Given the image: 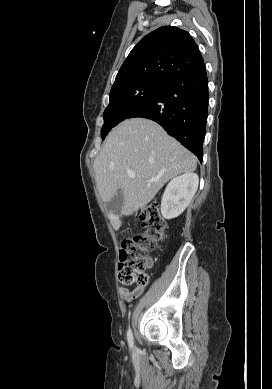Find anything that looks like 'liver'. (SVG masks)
I'll use <instances>...</instances> for the list:
<instances>
[{
    "label": "liver",
    "instance_id": "6515ba94",
    "mask_svg": "<svg viewBox=\"0 0 272 389\" xmlns=\"http://www.w3.org/2000/svg\"><path fill=\"white\" fill-rule=\"evenodd\" d=\"M93 167L102 201L109 202L121 190L122 214L130 215L146 206L167 181L195 171L197 160L154 121L132 118L109 133ZM128 171L135 177H129ZM112 219L118 230L121 221L113 214Z\"/></svg>",
    "mask_w": 272,
    "mask_h": 389
}]
</instances>
